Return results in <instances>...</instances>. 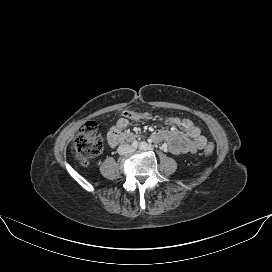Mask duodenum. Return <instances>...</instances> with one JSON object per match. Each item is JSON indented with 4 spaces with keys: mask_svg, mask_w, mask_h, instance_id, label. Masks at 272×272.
Returning a JSON list of instances; mask_svg holds the SVG:
<instances>
[{
    "mask_svg": "<svg viewBox=\"0 0 272 272\" xmlns=\"http://www.w3.org/2000/svg\"><path fill=\"white\" fill-rule=\"evenodd\" d=\"M135 138H136V135L134 133H129V132L120 133L118 135V142L131 141V140H134Z\"/></svg>",
    "mask_w": 272,
    "mask_h": 272,
    "instance_id": "duodenum-1",
    "label": "duodenum"
}]
</instances>
